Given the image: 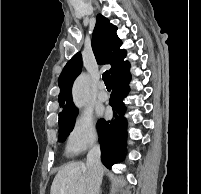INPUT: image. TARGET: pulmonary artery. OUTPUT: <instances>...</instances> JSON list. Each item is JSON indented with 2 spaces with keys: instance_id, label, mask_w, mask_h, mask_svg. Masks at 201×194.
Returning a JSON list of instances; mask_svg holds the SVG:
<instances>
[{
  "instance_id": "1",
  "label": "pulmonary artery",
  "mask_w": 201,
  "mask_h": 194,
  "mask_svg": "<svg viewBox=\"0 0 201 194\" xmlns=\"http://www.w3.org/2000/svg\"><path fill=\"white\" fill-rule=\"evenodd\" d=\"M98 98H99L100 101H107L108 98H109V95H108L107 91L105 90V87H104L103 84L100 86V91L98 93Z\"/></svg>"
}]
</instances>
